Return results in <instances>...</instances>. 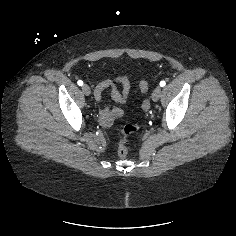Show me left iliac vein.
Masks as SVG:
<instances>
[{"label": "left iliac vein", "mask_w": 236, "mask_h": 236, "mask_svg": "<svg viewBox=\"0 0 236 236\" xmlns=\"http://www.w3.org/2000/svg\"><path fill=\"white\" fill-rule=\"evenodd\" d=\"M161 94H162V88L160 86H157L152 93V96H151L152 100L154 102L158 101L161 97Z\"/></svg>", "instance_id": "obj_1"}]
</instances>
